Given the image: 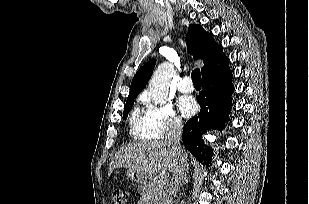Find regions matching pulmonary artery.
I'll list each match as a JSON object with an SVG mask.
<instances>
[{
	"label": "pulmonary artery",
	"mask_w": 309,
	"mask_h": 204,
	"mask_svg": "<svg viewBox=\"0 0 309 204\" xmlns=\"http://www.w3.org/2000/svg\"><path fill=\"white\" fill-rule=\"evenodd\" d=\"M178 90L182 93H191L194 90L192 79L188 76L183 77L178 83Z\"/></svg>",
	"instance_id": "pulmonary-artery-1"
}]
</instances>
